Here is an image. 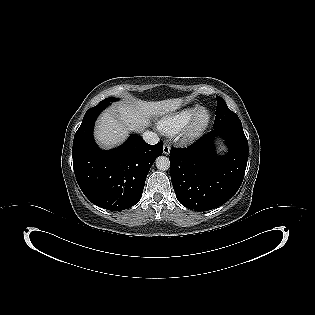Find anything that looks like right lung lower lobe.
Segmentation results:
<instances>
[{"instance_id":"1","label":"right lung lower lobe","mask_w":315,"mask_h":315,"mask_svg":"<svg viewBox=\"0 0 315 315\" xmlns=\"http://www.w3.org/2000/svg\"><path fill=\"white\" fill-rule=\"evenodd\" d=\"M109 104L99 103L86 112L73 141V167L79 187L92 203L122 211L141 199L146 176L162 154L163 142L149 145L131 135L118 148L99 149L93 138L94 122Z\"/></svg>"}]
</instances>
